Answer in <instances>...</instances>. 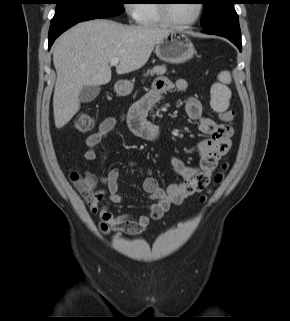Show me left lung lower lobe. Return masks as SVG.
Returning a JSON list of instances; mask_svg holds the SVG:
<instances>
[{
  "mask_svg": "<svg viewBox=\"0 0 290 321\" xmlns=\"http://www.w3.org/2000/svg\"><path fill=\"white\" fill-rule=\"evenodd\" d=\"M203 33L225 37L235 44L239 51L242 50L241 31L237 14L219 24L204 28Z\"/></svg>",
  "mask_w": 290,
  "mask_h": 321,
  "instance_id": "obj_1",
  "label": "left lung lower lobe"
}]
</instances>
